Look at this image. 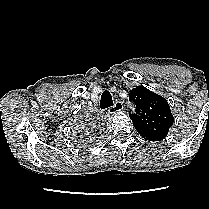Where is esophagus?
Returning a JSON list of instances; mask_svg holds the SVG:
<instances>
[{
  "label": "esophagus",
  "mask_w": 209,
  "mask_h": 209,
  "mask_svg": "<svg viewBox=\"0 0 209 209\" xmlns=\"http://www.w3.org/2000/svg\"><path fill=\"white\" fill-rule=\"evenodd\" d=\"M123 109V104H122V102L121 101H116L115 103H114V105L113 106H111L110 108H109V113H111V114H114V113H116V112H118V111H121Z\"/></svg>",
  "instance_id": "obj_1"
}]
</instances>
